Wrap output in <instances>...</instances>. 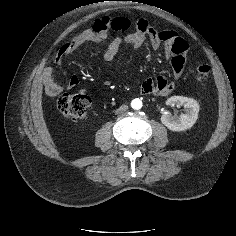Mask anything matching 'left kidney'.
<instances>
[{"instance_id":"5707ae66","label":"left kidney","mask_w":236,"mask_h":236,"mask_svg":"<svg viewBox=\"0 0 236 236\" xmlns=\"http://www.w3.org/2000/svg\"><path fill=\"white\" fill-rule=\"evenodd\" d=\"M166 104L169 106H184L185 113L179 116L163 114L161 122L172 131H185L190 129L198 119L199 104L196 100L183 96L170 97Z\"/></svg>"}]
</instances>
